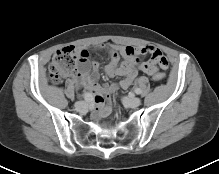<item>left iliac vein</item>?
Wrapping results in <instances>:
<instances>
[{
	"label": "left iliac vein",
	"instance_id": "left-iliac-vein-1",
	"mask_svg": "<svg viewBox=\"0 0 219 174\" xmlns=\"http://www.w3.org/2000/svg\"><path fill=\"white\" fill-rule=\"evenodd\" d=\"M126 105H128L129 107H137L141 104V99L138 97H128L125 100Z\"/></svg>",
	"mask_w": 219,
	"mask_h": 174
}]
</instances>
